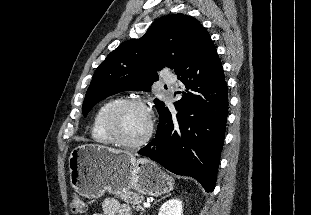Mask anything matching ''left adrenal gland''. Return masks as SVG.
Segmentation results:
<instances>
[{"label": "left adrenal gland", "instance_id": "a2214340", "mask_svg": "<svg viewBox=\"0 0 311 215\" xmlns=\"http://www.w3.org/2000/svg\"><path fill=\"white\" fill-rule=\"evenodd\" d=\"M161 200V199H160ZM160 200H158V201H160ZM158 201H155L153 204H156V202H158Z\"/></svg>", "mask_w": 311, "mask_h": 215}]
</instances>
